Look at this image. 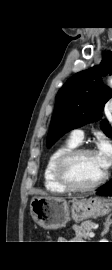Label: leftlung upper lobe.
I'll use <instances>...</instances> for the list:
<instances>
[{"label":"left lung upper lobe","instance_id":"5c2ea615","mask_svg":"<svg viewBox=\"0 0 112 270\" xmlns=\"http://www.w3.org/2000/svg\"><path fill=\"white\" fill-rule=\"evenodd\" d=\"M108 73L112 74V52H107L99 65L73 75L62 86L56 96L48 148L68 131L101 119L105 103L112 98V89L101 83V77ZM100 127L112 136L108 121L104 120Z\"/></svg>","mask_w":112,"mask_h":270}]
</instances>
